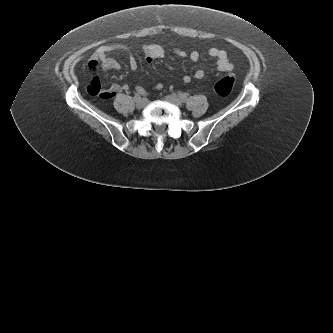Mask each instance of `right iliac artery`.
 Returning a JSON list of instances; mask_svg holds the SVG:
<instances>
[{"mask_svg": "<svg viewBox=\"0 0 333 333\" xmlns=\"http://www.w3.org/2000/svg\"><path fill=\"white\" fill-rule=\"evenodd\" d=\"M141 95H142V93L136 94L134 97L135 101H138L139 99H141Z\"/></svg>", "mask_w": 333, "mask_h": 333, "instance_id": "82829eb1", "label": "right iliac artery"}]
</instances>
